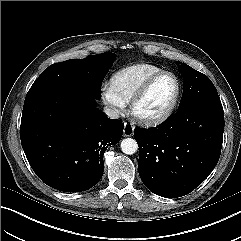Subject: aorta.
<instances>
[{"mask_svg": "<svg viewBox=\"0 0 241 241\" xmlns=\"http://www.w3.org/2000/svg\"><path fill=\"white\" fill-rule=\"evenodd\" d=\"M121 150L125 154L132 155L138 150V144L135 139L125 138L121 141Z\"/></svg>", "mask_w": 241, "mask_h": 241, "instance_id": "obj_1", "label": "aorta"}]
</instances>
